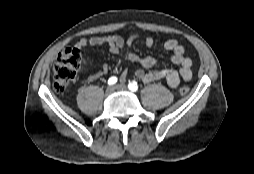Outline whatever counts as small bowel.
Returning a JSON list of instances; mask_svg holds the SVG:
<instances>
[{"instance_id": "c3829d8e", "label": "small bowel", "mask_w": 254, "mask_h": 174, "mask_svg": "<svg viewBox=\"0 0 254 174\" xmlns=\"http://www.w3.org/2000/svg\"><path fill=\"white\" fill-rule=\"evenodd\" d=\"M139 38V34H132L126 40L119 35L94 36L90 38H81L76 43V47L79 49L86 47H105L110 53L122 55L129 61L140 64L144 69L136 70L135 75L145 83L164 80L170 87L177 88L182 80L189 81L192 78V60L185 55L184 47L177 40H167L163 44V49L171 53V62L179 68L152 69L156 65L155 58L151 56L142 57L131 51L132 45ZM144 44L146 47H152L154 39L150 36L146 37L144 39ZM83 64H86L84 59ZM108 72V65L102 64L101 69L97 73L90 75L86 80L82 81V83L96 81L105 76ZM121 80H125V74L122 75Z\"/></svg>"}]
</instances>
